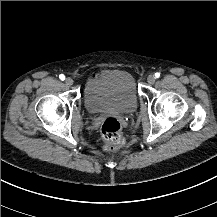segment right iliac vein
I'll return each mask as SVG.
<instances>
[{
  "label": "right iliac vein",
  "mask_w": 217,
  "mask_h": 217,
  "mask_svg": "<svg viewBox=\"0 0 217 217\" xmlns=\"http://www.w3.org/2000/svg\"><path fill=\"white\" fill-rule=\"evenodd\" d=\"M73 83H74V81H73V79L71 77H68V78L65 79V84L67 86H72Z\"/></svg>",
  "instance_id": "obj_1"
}]
</instances>
